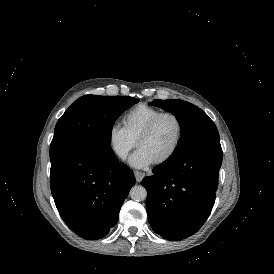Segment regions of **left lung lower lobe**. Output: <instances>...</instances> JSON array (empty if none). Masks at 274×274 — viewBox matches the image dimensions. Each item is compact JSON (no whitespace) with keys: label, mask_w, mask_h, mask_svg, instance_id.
Returning <instances> with one entry per match:
<instances>
[{"label":"left lung lower lobe","mask_w":274,"mask_h":274,"mask_svg":"<svg viewBox=\"0 0 274 274\" xmlns=\"http://www.w3.org/2000/svg\"><path fill=\"white\" fill-rule=\"evenodd\" d=\"M222 158L221 147L203 148L163 162L144 177L148 220L156 233L178 241L201 228L215 202Z\"/></svg>","instance_id":"1"}]
</instances>
